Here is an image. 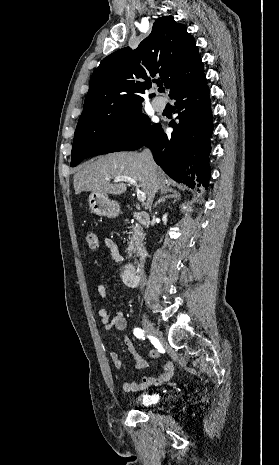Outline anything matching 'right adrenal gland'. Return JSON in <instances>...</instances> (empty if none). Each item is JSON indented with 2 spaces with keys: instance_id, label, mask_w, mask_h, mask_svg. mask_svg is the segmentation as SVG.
<instances>
[{
  "instance_id": "obj_1",
  "label": "right adrenal gland",
  "mask_w": 279,
  "mask_h": 465,
  "mask_svg": "<svg viewBox=\"0 0 279 465\" xmlns=\"http://www.w3.org/2000/svg\"><path fill=\"white\" fill-rule=\"evenodd\" d=\"M181 195L177 193L176 191H170L169 195H166L164 197H161L158 199V201L155 203L154 207L156 208L159 204L164 203L167 199H180Z\"/></svg>"
}]
</instances>
